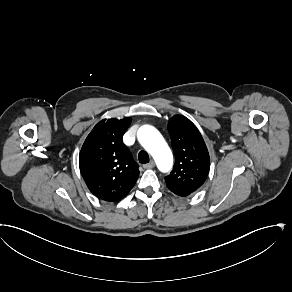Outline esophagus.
<instances>
[{"mask_svg":"<svg viewBox=\"0 0 292 292\" xmlns=\"http://www.w3.org/2000/svg\"><path fill=\"white\" fill-rule=\"evenodd\" d=\"M154 166H155V162L153 160L143 165L145 169H150V168H153Z\"/></svg>","mask_w":292,"mask_h":292,"instance_id":"obj_1","label":"esophagus"}]
</instances>
